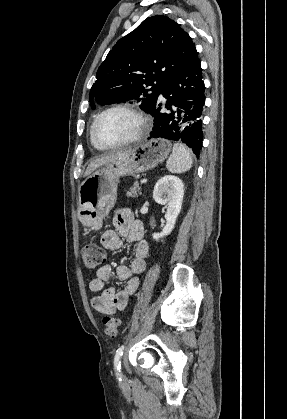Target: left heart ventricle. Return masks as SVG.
<instances>
[{
  "label": "left heart ventricle",
  "instance_id": "left-heart-ventricle-1",
  "mask_svg": "<svg viewBox=\"0 0 287 419\" xmlns=\"http://www.w3.org/2000/svg\"><path fill=\"white\" fill-rule=\"evenodd\" d=\"M139 129L138 119L124 110L105 114L96 127L97 138L104 143L114 144L128 140Z\"/></svg>",
  "mask_w": 287,
  "mask_h": 419
}]
</instances>
